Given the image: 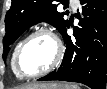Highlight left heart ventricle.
<instances>
[{
    "mask_svg": "<svg viewBox=\"0 0 107 89\" xmlns=\"http://www.w3.org/2000/svg\"><path fill=\"white\" fill-rule=\"evenodd\" d=\"M56 56V45L53 39L45 34L31 38L24 46L19 67L25 74H33L46 69Z\"/></svg>",
    "mask_w": 107,
    "mask_h": 89,
    "instance_id": "obj_1",
    "label": "left heart ventricle"
}]
</instances>
